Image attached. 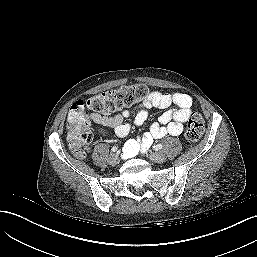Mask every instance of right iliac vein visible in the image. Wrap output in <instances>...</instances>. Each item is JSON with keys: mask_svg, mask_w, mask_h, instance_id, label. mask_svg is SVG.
Wrapping results in <instances>:
<instances>
[{"mask_svg": "<svg viewBox=\"0 0 257 257\" xmlns=\"http://www.w3.org/2000/svg\"><path fill=\"white\" fill-rule=\"evenodd\" d=\"M109 162L112 164L119 162V155L117 153H112L109 157Z\"/></svg>", "mask_w": 257, "mask_h": 257, "instance_id": "right-iliac-vein-1", "label": "right iliac vein"}]
</instances>
